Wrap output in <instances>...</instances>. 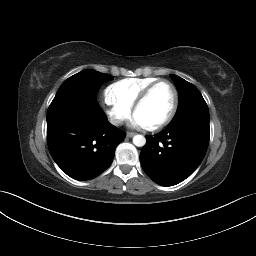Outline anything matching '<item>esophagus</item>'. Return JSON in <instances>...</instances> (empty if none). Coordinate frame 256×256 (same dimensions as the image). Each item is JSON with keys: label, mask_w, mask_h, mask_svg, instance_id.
<instances>
[{"label": "esophagus", "mask_w": 256, "mask_h": 256, "mask_svg": "<svg viewBox=\"0 0 256 256\" xmlns=\"http://www.w3.org/2000/svg\"><path fill=\"white\" fill-rule=\"evenodd\" d=\"M126 135H127V137L131 138L135 135V133L134 132H127Z\"/></svg>", "instance_id": "1"}]
</instances>
